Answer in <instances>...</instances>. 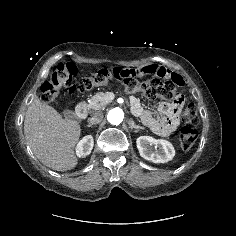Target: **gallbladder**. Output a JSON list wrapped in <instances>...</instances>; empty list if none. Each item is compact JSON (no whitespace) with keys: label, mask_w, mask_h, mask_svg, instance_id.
I'll return each mask as SVG.
<instances>
[{"label":"gallbladder","mask_w":236,"mask_h":236,"mask_svg":"<svg viewBox=\"0 0 236 236\" xmlns=\"http://www.w3.org/2000/svg\"><path fill=\"white\" fill-rule=\"evenodd\" d=\"M63 115L68 119H73L74 118L73 113L70 110H67V109L63 111Z\"/></svg>","instance_id":"1"}]
</instances>
